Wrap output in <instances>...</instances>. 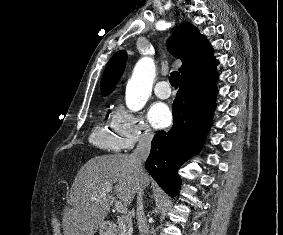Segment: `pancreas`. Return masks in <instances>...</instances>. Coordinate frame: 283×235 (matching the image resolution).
Returning <instances> with one entry per match:
<instances>
[{"label": "pancreas", "mask_w": 283, "mask_h": 235, "mask_svg": "<svg viewBox=\"0 0 283 235\" xmlns=\"http://www.w3.org/2000/svg\"><path fill=\"white\" fill-rule=\"evenodd\" d=\"M118 235H132V220L128 216H121L118 218Z\"/></svg>", "instance_id": "pancreas-1"}]
</instances>
